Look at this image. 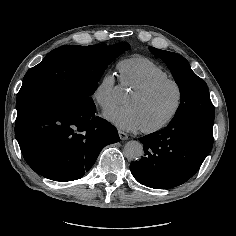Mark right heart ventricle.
Masks as SVG:
<instances>
[{"label":"right heart ventricle","mask_w":236,"mask_h":236,"mask_svg":"<svg viewBox=\"0 0 236 236\" xmlns=\"http://www.w3.org/2000/svg\"><path fill=\"white\" fill-rule=\"evenodd\" d=\"M118 68L121 84L130 90L143 88L159 79L170 78L166 69L143 56L124 59L118 63Z\"/></svg>","instance_id":"right-heart-ventricle-1"}]
</instances>
